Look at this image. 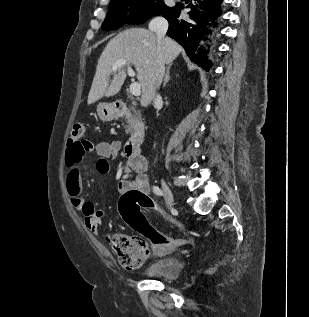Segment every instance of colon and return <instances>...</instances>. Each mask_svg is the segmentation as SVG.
<instances>
[{
  "mask_svg": "<svg viewBox=\"0 0 309 317\" xmlns=\"http://www.w3.org/2000/svg\"><path fill=\"white\" fill-rule=\"evenodd\" d=\"M84 134L85 125L82 123L74 124L66 154L67 163L71 164L77 162L83 157L81 147L87 142L83 140ZM88 145V149L90 150L91 143H88ZM144 208L153 209L156 212L165 215L164 211L161 210L157 203L149 195L141 191L130 190L122 194L119 202L120 214L141 236L119 234L111 241L113 251L117 256L120 265L128 270L138 269L145 263L149 255L148 243L154 247L166 249L180 247L189 243V241L185 239L167 237L156 230L149 224L143 215L142 209ZM168 218L174 225L182 229H187L180 221L171 217Z\"/></svg>",
  "mask_w": 309,
  "mask_h": 317,
  "instance_id": "5ec220e1",
  "label": "colon"
}]
</instances>
